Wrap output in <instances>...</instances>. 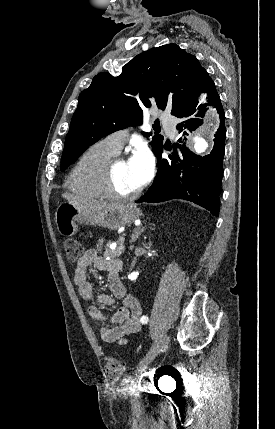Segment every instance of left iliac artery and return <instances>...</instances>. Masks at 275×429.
I'll use <instances>...</instances> for the list:
<instances>
[{"label": "left iliac artery", "mask_w": 275, "mask_h": 429, "mask_svg": "<svg viewBox=\"0 0 275 429\" xmlns=\"http://www.w3.org/2000/svg\"><path fill=\"white\" fill-rule=\"evenodd\" d=\"M148 317L147 316H142L141 317V319H140V322L142 323V324H146L147 322H148Z\"/></svg>", "instance_id": "obj_1"}]
</instances>
